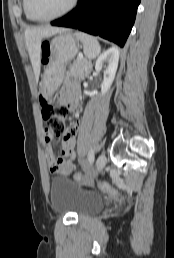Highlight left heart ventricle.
<instances>
[{
	"label": "left heart ventricle",
	"instance_id": "left-heart-ventricle-1",
	"mask_svg": "<svg viewBox=\"0 0 174 258\" xmlns=\"http://www.w3.org/2000/svg\"><path fill=\"white\" fill-rule=\"evenodd\" d=\"M71 0H30L31 12L37 17H49L63 11Z\"/></svg>",
	"mask_w": 174,
	"mask_h": 258
}]
</instances>
